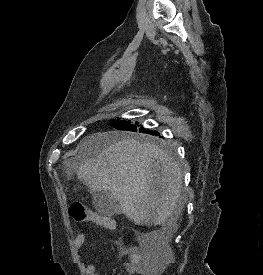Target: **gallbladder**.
Listing matches in <instances>:
<instances>
[{
  "label": "gallbladder",
  "instance_id": "bac80fb5",
  "mask_svg": "<svg viewBox=\"0 0 263 275\" xmlns=\"http://www.w3.org/2000/svg\"><path fill=\"white\" fill-rule=\"evenodd\" d=\"M93 205L102 216H113L122 212L119 202L108 191L93 193Z\"/></svg>",
  "mask_w": 263,
  "mask_h": 275
}]
</instances>
